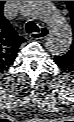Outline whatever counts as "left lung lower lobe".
I'll use <instances>...</instances> for the list:
<instances>
[{
    "label": "left lung lower lobe",
    "instance_id": "obj_1",
    "mask_svg": "<svg viewBox=\"0 0 74 122\" xmlns=\"http://www.w3.org/2000/svg\"><path fill=\"white\" fill-rule=\"evenodd\" d=\"M54 61L62 70L67 72H74L73 62L63 59L62 56H55Z\"/></svg>",
    "mask_w": 74,
    "mask_h": 122
}]
</instances>
